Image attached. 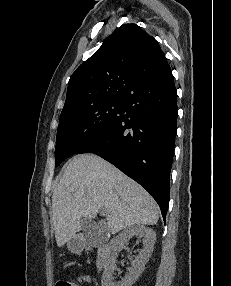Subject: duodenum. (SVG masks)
Segmentation results:
<instances>
[{"instance_id":"1","label":"duodenum","mask_w":231,"mask_h":286,"mask_svg":"<svg viewBox=\"0 0 231 286\" xmlns=\"http://www.w3.org/2000/svg\"><path fill=\"white\" fill-rule=\"evenodd\" d=\"M79 245L85 250H96L95 264L99 271H102L106 267L108 261V245L103 239L83 238Z\"/></svg>"}]
</instances>
